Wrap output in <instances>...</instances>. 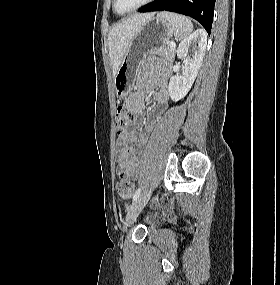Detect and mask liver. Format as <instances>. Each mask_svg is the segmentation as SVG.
Segmentation results:
<instances>
[{"label": "liver", "mask_w": 280, "mask_h": 285, "mask_svg": "<svg viewBox=\"0 0 280 285\" xmlns=\"http://www.w3.org/2000/svg\"><path fill=\"white\" fill-rule=\"evenodd\" d=\"M154 17V13L136 14L115 25L108 35L109 56L115 77L122 59L140 27Z\"/></svg>", "instance_id": "obj_1"}]
</instances>
